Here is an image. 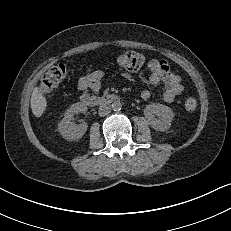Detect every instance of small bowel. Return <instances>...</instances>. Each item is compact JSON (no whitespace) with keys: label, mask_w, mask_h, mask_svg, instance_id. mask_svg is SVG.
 I'll list each match as a JSON object with an SVG mask.
<instances>
[{"label":"small bowel","mask_w":231,"mask_h":231,"mask_svg":"<svg viewBox=\"0 0 231 231\" xmlns=\"http://www.w3.org/2000/svg\"><path fill=\"white\" fill-rule=\"evenodd\" d=\"M148 68L151 71L149 81L152 85H164L161 98L166 103H171L182 95L183 85L181 77L172 72L169 64L163 60L152 59L148 62ZM104 73L101 70H94L79 79V89L82 91H91L98 93L101 87V79ZM150 90H143L141 98L148 100L151 97Z\"/></svg>","instance_id":"small-bowel-1"}]
</instances>
